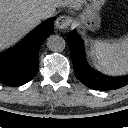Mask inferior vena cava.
Wrapping results in <instances>:
<instances>
[{
    "label": "inferior vena cava",
    "instance_id": "1",
    "mask_svg": "<svg viewBox=\"0 0 128 128\" xmlns=\"http://www.w3.org/2000/svg\"><path fill=\"white\" fill-rule=\"evenodd\" d=\"M53 14V11L50 7L48 6H41L40 8H38V10L36 11V16L39 19H46L48 17H50Z\"/></svg>",
    "mask_w": 128,
    "mask_h": 128
}]
</instances>
